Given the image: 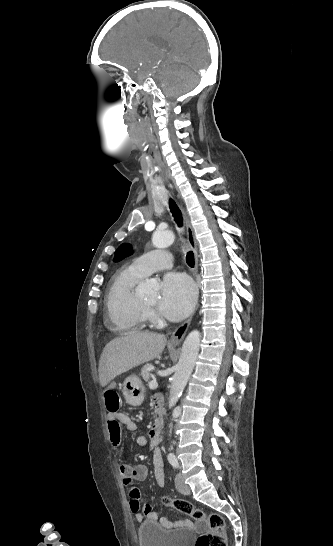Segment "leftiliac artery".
Wrapping results in <instances>:
<instances>
[{
	"mask_svg": "<svg viewBox=\"0 0 333 546\" xmlns=\"http://www.w3.org/2000/svg\"><path fill=\"white\" fill-rule=\"evenodd\" d=\"M168 460H169L170 464H171L174 468H178V467H179L178 460H177V458L175 457L174 454L170 453V454L168 455Z\"/></svg>",
	"mask_w": 333,
	"mask_h": 546,
	"instance_id": "1",
	"label": "left iliac artery"
}]
</instances>
